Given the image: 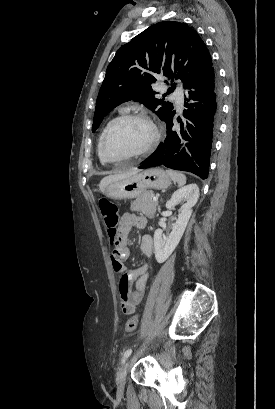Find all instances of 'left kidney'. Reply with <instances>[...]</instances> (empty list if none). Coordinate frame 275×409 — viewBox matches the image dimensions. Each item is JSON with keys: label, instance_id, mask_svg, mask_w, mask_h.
I'll list each match as a JSON object with an SVG mask.
<instances>
[{"label": "left kidney", "instance_id": "left-kidney-1", "mask_svg": "<svg viewBox=\"0 0 275 409\" xmlns=\"http://www.w3.org/2000/svg\"><path fill=\"white\" fill-rule=\"evenodd\" d=\"M199 198V188L197 184H187L183 188H178L173 192L170 200L166 202V209H175L179 202H183L178 215V219L169 235L165 237L163 231L157 229L154 233V249L155 259L157 263H164L174 249H176L191 217L192 207L196 205ZM161 223H165L166 219H160Z\"/></svg>", "mask_w": 275, "mask_h": 409}]
</instances>
